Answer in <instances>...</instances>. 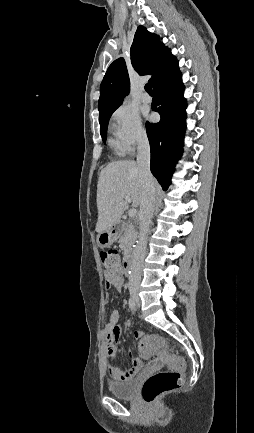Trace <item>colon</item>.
I'll return each mask as SVG.
<instances>
[{"instance_id":"1","label":"colon","mask_w":254,"mask_h":433,"mask_svg":"<svg viewBox=\"0 0 254 433\" xmlns=\"http://www.w3.org/2000/svg\"><path fill=\"white\" fill-rule=\"evenodd\" d=\"M102 265L108 278H120L124 275V266L116 250H108L100 253ZM163 340L160 337L150 336L142 341L144 348L160 346ZM184 363L174 358L171 367L150 376L143 384L141 395L145 402L152 403L163 394L181 387L183 383L182 370Z\"/></svg>"}]
</instances>
